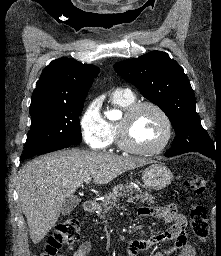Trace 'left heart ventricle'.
<instances>
[{
	"label": "left heart ventricle",
	"mask_w": 221,
	"mask_h": 256,
	"mask_svg": "<svg viewBox=\"0 0 221 256\" xmlns=\"http://www.w3.org/2000/svg\"><path fill=\"white\" fill-rule=\"evenodd\" d=\"M164 131V122L159 114L151 108H143L131 121L129 138L139 147L150 148L161 141Z\"/></svg>",
	"instance_id": "b2bd125f"
}]
</instances>
